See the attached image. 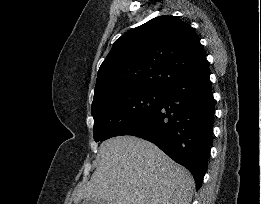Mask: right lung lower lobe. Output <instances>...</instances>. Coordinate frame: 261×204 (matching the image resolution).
Returning a JSON list of instances; mask_svg holds the SVG:
<instances>
[{
	"instance_id": "obj_1",
	"label": "right lung lower lobe",
	"mask_w": 261,
	"mask_h": 204,
	"mask_svg": "<svg viewBox=\"0 0 261 204\" xmlns=\"http://www.w3.org/2000/svg\"><path fill=\"white\" fill-rule=\"evenodd\" d=\"M208 62L172 83L159 103L120 135L155 143L191 171L198 190L207 170L212 143L214 99Z\"/></svg>"
}]
</instances>
